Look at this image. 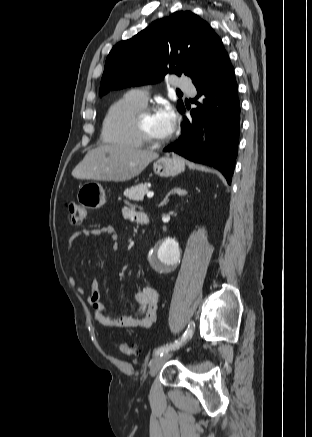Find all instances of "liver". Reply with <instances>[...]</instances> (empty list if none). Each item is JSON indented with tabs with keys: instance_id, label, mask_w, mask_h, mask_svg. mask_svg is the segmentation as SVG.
<instances>
[{
	"instance_id": "liver-1",
	"label": "liver",
	"mask_w": 312,
	"mask_h": 437,
	"mask_svg": "<svg viewBox=\"0 0 312 437\" xmlns=\"http://www.w3.org/2000/svg\"><path fill=\"white\" fill-rule=\"evenodd\" d=\"M159 154L126 145L90 150L72 171L77 179L124 182L138 176Z\"/></svg>"
}]
</instances>
